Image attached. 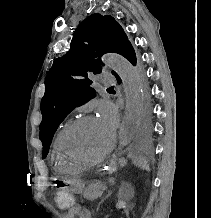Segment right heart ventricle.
Returning a JSON list of instances; mask_svg holds the SVG:
<instances>
[{"mask_svg": "<svg viewBox=\"0 0 211 218\" xmlns=\"http://www.w3.org/2000/svg\"><path fill=\"white\" fill-rule=\"evenodd\" d=\"M72 123V118L67 117L64 119L59 125L54 142H53V153L51 155L52 159H59L62 152V139L64 132L68 128V126ZM49 165H51V169H66V164H61V160H49Z\"/></svg>", "mask_w": 211, "mask_h": 218, "instance_id": "obj_1", "label": "right heart ventricle"}]
</instances>
